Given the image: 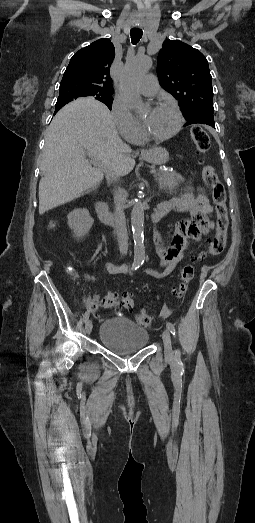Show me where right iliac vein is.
<instances>
[{
	"instance_id": "right-iliac-vein-1",
	"label": "right iliac vein",
	"mask_w": 255,
	"mask_h": 523,
	"mask_svg": "<svg viewBox=\"0 0 255 523\" xmlns=\"http://www.w3.org/2000/svg\"><path fill=\"white\" fill-rule=\"evenodd\" d=\"M92 327H93V325H92V321L88 319V320L85 322V330H86V333H87V334H90V333H91V331H92Z\"/></svg>"
}]
</instances>
